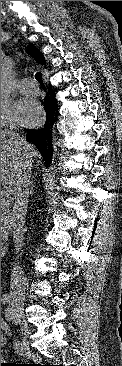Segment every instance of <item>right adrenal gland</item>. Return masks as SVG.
Masks as SVG:
<instances>
[{
  "instance_id": "2a0ac1e0",
  "label": "right adrenal gland",
  "mask_w": 122,
  "mask_h": 366,
  "mask_svg": "<svg viewBox=\"0 0 122 366\" xmlns=\"http://www.w3.org/2000/svg\"><path fill=\"white\" fill-rule=\"evenodd\" d=\"M33 188H34V184H33V182H32V188H31L32 193H33V191H34V190H33ZM32 193H31V194H32Z\"/></svg>"
}]
</instances>
